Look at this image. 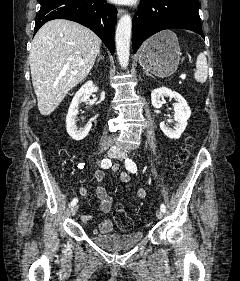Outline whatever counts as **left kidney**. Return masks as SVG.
<instances>
[{
  "mask_svg": "<svg viewBox=\"0 0 240 281\" xmlns=\"http://www.w3.org/2000/svg\"><path fill=\"white\" fill-rule=\"evenodd\" d=\"M164 97L174 98L176 101L173 105L175 111L174 121H176V123L172 129L169 128L165 122H161L160 129L170 139H178L187 126V121L191 116V110L186 100L179 93L166 87H161L152 91L151 101L153 107L157 109L161 108L165 103ZM168 122H172V120H168Z\"/></svg>",
  "mask_w": 240,
  "mask_h": 281,
  "instance_id": "5707ae66",
  "label": "left kidney"
}]
</instances>
